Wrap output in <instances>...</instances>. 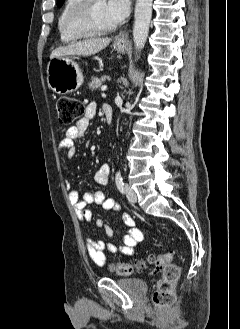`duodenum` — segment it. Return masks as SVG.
<instances>
[{
    "label": "duodenum",
    "instance_id": "1",
    "mask_svg": "<svg viewBox=\"0 0 240 329\" xmlns=\"http://www.w3.org/2000/svg\"><path fill=\"white\" fill-rule=\"evenodd\" d=\"M103 111L105 114L106 121L110 125L113 120V109L109 104H104Z\"/></svg>",
    "mask_w": 240,
    "mask_h": 329
}]
</instances>
